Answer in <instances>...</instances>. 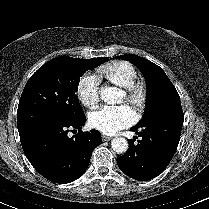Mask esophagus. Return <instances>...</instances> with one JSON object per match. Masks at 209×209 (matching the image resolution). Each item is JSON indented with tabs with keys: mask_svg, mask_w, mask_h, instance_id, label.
I'll return each mask as SVG.
<instances>
[{
	"mask_svg": "<svg viewBox=\"0 0 209 209\" xmlns=\"http://www.w3.org/2000/svg\"><path fill=\"white\" fill-rule=\"evenodd\" d=\"M101 137H102V141H109L112 139L111 137L106 136V135H102Z\"/></svg>",
	"mask_w": 209,
	"mask_h": 209,
	"instance_id": "esophagus-1",
	"label": "esophagus"
}]
</instances>
